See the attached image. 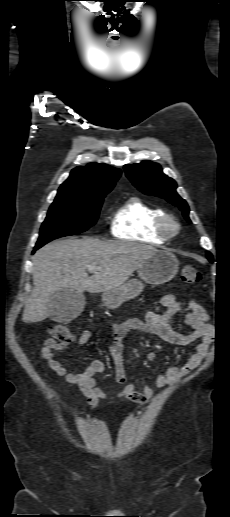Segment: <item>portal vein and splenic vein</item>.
Instances as JSON below:
<instances>
[{
  "label": "portal vein and splenic vein",
  "instance_id": "1",
  "mask_svg": "<svg viewBox=\"0 0 230 517\" xmlns=\"http://www.w3.org/2000/svg\"><path fill=\"white\" fill-rule=\"evenodd\" d=\"M97 269H98V268H97V267H95V266H88V271H89V272H94V271H96Z\"/></svg>",
  "mask_w": 230,
  "mask_h": 517
}]
</instances>
